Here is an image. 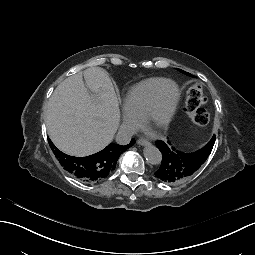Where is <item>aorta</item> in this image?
Segmentation results:
<instances>
[{
	"label": "aorta",
	"mask_w": 255,
	"mask_h": 255,
	"mask_svg": "<svg viewBox=\"0 0 255 255\" xmlns=\"http://www.w3.org/2000/svg\"><path fill=\"white\" fill-rule=\"evenodd\" d=\"M143 153H144V157L150 164L158 165L161 163L162 154L156 146L151 144L147 145L144 148Z\"/></svg>",
	"instance_id": "1"
}]
</instances>
